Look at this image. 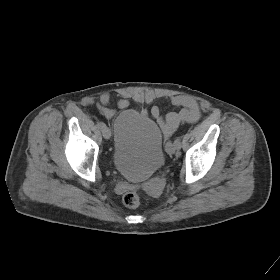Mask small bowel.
<instances>
[{
  "mask_svg": "<svg viewBox=\"0 0 280 280\" xmlns=\"http://www.w3.org/2000/svg\"><path fill=\"white\" fill-rule=\"evenodd\" d=\"M111 96L109 93H103L99 98L98 109L102 115L107 118L114 116L115 111L109 107ZM174 106L180 108L178 112H170L165 116L161 115L160 109L154 106L151 109L152 116L157 120L161 130L165 137H170L178 128L179 124L195 123L201 117V111L198 102L188 96L178 95L171 99ZM118 106L121 109H125L129 106V101L121 99L118 102Z\"/></svg>",
  "mask_w": 280,
  "mask_h": 280,
  "instance_id": "1",
  "label": "small bowel"
}]
</instances>
